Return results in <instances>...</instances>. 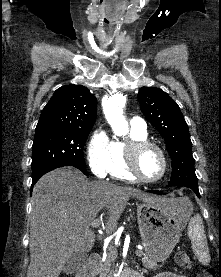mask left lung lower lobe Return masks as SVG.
I'll use <instances>...</instances> for the list:
<instances>
[{
  "instance_id": "obj_1",
  "label": "left lung lower lobe",
  "mask_w": 221,
  "mask_h": 277,
  "mask_svg": "<svg viewBox=\"0 0 221 277\" xmlns=\"http://www.w3.org/2000/svg\"><path fill=\"white\" fill-rule=\"evenodd\" d=\"M177 187H178V188H181V187H188V188L192 189L198 197H200L198 185H180V186H177ZM149 192L155 193V194H162V192H160V191H155V190H151V191H149Z\"/></svg>"
}]
</instances>
